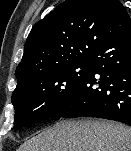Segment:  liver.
<instances>
[{"instance_id":"obj_1","label":"liver","mask_w":131,"mask_h":151,"mask_svg":"<svg viewBox=\"0 0 131 151\" xmlns=\"http://www.w3.org/2000/svg\"><path fill=\"white\" fill-rule=\"evenodd\" d=\"M131 129L105 120H64L26 141L18 151H130Z\"/></svg>"}]
</instances>
